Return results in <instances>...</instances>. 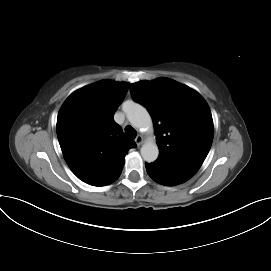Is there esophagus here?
<instances>
[{
  "label": "esophagus",
  "mask_w": 271,
  "mask_h": 271,
  "mask_svg": "<svg viewBox=\"0 0 271 271\" xmlns=\"http://www.w3.org/2000/svg\"><path fill=\"white\" fill-rule=\"evenodd\" d=\"M143 136L142 135H138L136 138H135V142L137 144V146H140L142 143H143Z\"/></svg>",
  "instance_id": "esophagus-1"
}]
</instances>
